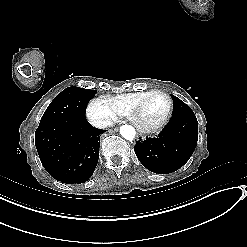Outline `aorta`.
I'll return each mask as SVG.
<instances>
[{"label":"aorta","instance_id":"1","mask_svg":"<svg viewBox=\"0 0 247 247\" xmlns=\"http://www.w3.org/2000/svg\"><path fill=\"white\" fill-rule=\"evenodd\" d=\"M120 134L126 140L132 141L135 138V129L130 125H122L120 127Z\"/></svg>","mask_w":247,"mask_h":247}]
</instances>
